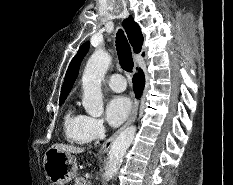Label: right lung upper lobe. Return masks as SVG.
I'll return each mask as SVG.
<instances>
[{
    "label": "right lung upper lobe",
    "mask_w": 233,
    "mask_h": 185,
    "mask_svg": "<svg viewBox=\"0 0 233 185\" xmlns=\"http://www.w3.org/2000/svg\"><path fill=\"white\" fill-rule=\"evenodd\" d=\"M123 26L126 30L128 39L134 49V52L135 53L141 52V48L143 45V36L138 24L134 21V19L131 16H129L127 19L123 21ZM88 49H89V42H86L80 47L76 56L72 59L69 68L66 72L64 84L60 95V101H64L68 93L70 92L73 83L77 77L80 63L83 57L85 56V54L87 53ZM142 55L144 56V53Z\"/></svg>",
    "instance_id": "right-lung-upper-lobe-1"
}]
</instances>
